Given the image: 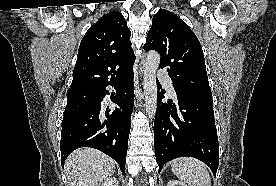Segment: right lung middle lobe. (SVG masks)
I'll list each match as a JSON object with an SVG mask.
<instances>
[{
    "mask_svg": "<svg viewBox=\"0 0 276 186\" xmlns=\"http://www.w3.org/2000/svg\"><path fill=\"white\" fill-rule=\"evenodd\" d=\"M98 89L99 88H95V87H85V88L68 90L67 91V98H68L67 103H73L75 101L81 100L85 96L96 92Z\"/></svg>",
    "mask_w": 276,
    "mask_h": 186,
    "instance_id": "right-lung-middle-lobe-1",
    "label": "right lung middle lobe"
}]
</instances>
